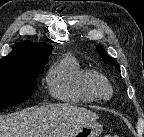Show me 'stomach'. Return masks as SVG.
<instances>
[{"mask_svg":"<svg viewBox=\"0 0 144 137\" xmlns=\"http://www.w3.org/2000/svg\"><path fill=\"white\" fill-rule=\"evenodd\" d=\"M103 128L99 123H89L72 132L68 137H99Z\"/></svg>","mask_w":144,"mask_h":137,"instance_id":"stomach-1","label":"stomach"}]
</instances>
